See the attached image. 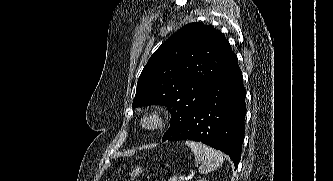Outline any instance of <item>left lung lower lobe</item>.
I'll return each mask as SVG.
<instances>
[{"label": "left lung lower lobe", "mask_w": 333, "mask_h": 181, "mask_svg": "<svg viewBox=\"0 0 333 181\" xmlns=\"http://www.w3.org/2000/svg\"><path fill=\"white\" fill-rule=\"evenodd\" d=\"M238 59L208 88L202 103L171 121L162 141L194 140L226 153L235 167L241 158L246 114Z\"/></svg>", "instance_id": "obj_1"}]
</instances>
